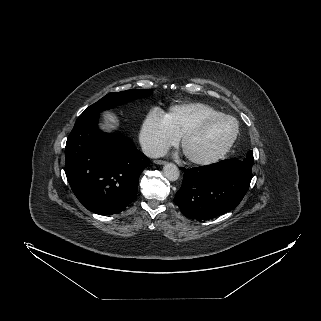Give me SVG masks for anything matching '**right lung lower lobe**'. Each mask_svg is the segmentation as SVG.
I'll list each match as a JSON object with an SVG mask.
<instances>
[{"instance_id": "98d812e1", "label": "right lung lower lobe", "mask_w": 321, "mask_h": 321, "mask_svg": "<svg viewBox=\"0 0 321 321\" xmlns=\"http://www.w3.org/2000/svg\"><path fill=\"white\" fill-rule=\"evenodd\" d=\"M98 116L77 119L65 147V173L78 200L91 212L112 215L136 197L149 159L128 137L102 132Z\"/></svg>"}]
</instances>
